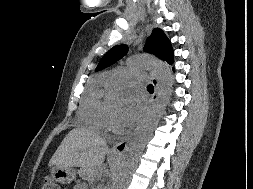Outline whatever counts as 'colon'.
Returning a JSON list of instances; mask_svg holds the SVG:
<instances>
[{
  "mask_svg": "<svg viewBox=\"0 0 253 189\" xmlns=\"http://www.w3.org/2000/svg\"><path fill=\"white\" fill-rule=\"evenodd\" d=\"M41 189H60V186L53 178L45 177Z\"/></svg>",
  "mask_w": 253,
  "mask_h": 189,
  "instance_id": "colon-1",
  "label": "colon"
}]
</instances>
